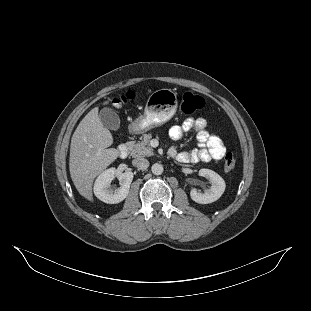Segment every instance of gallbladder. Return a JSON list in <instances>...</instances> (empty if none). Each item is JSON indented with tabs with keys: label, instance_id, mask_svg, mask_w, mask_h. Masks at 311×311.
Returning a JSON list of instances; mask_svg holds the SVG:
<instances>
[{
	"label": "gallbladder",
	"instance_id": "obj_1",
	"mask_svg": "<svg viewBox=\"0 0 311 311\" xmlns=\"http://www.w3.org/2000/svg\"><path fill=\"white\" fill-rule=\"evenodd\" d=\"M102 125L108 129L116 130L119 128L120 120L118 115L110 108H104L99 113Z\"/></svg>",
	"mask_w": 311,
	"mask_h": 311
}]
</instances>
